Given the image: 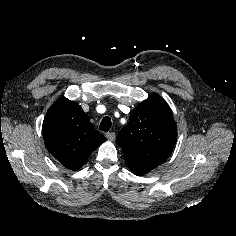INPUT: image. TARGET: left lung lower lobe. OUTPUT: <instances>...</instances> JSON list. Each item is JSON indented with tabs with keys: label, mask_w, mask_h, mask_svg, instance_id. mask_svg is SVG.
Wrapping results in <instances>:
<instances>
[{
	"label": "left lung lower lobe",
	"mask_w": 236,
	"mask_h": 236,
	"mask_svg": "<svg viewBox=\"0 0 236 236\" xmlns=\"http://www.w3.org/2000/svg\"><path fill=\"white\" fill-rule=\"evenodd\" d=\"M127 163L129 165L131 171L135 175H138V176H142V175L148 173L149 171H151L152 169L156 168L154 166L135 162V161H127Z\"/></svg>",
	"instance_id": "obj_1"
}]
</instances>
